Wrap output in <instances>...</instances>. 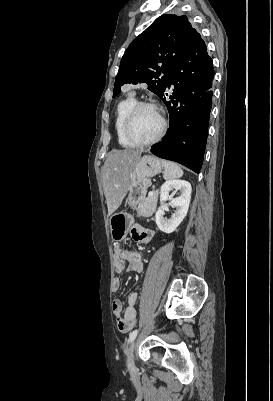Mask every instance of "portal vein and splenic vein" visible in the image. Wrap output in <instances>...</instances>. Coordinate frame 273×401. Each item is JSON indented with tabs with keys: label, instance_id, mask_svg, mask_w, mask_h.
I'll list each match as a JSON object with an SVG mask.
<instances>
[{
	"label": "portal vein and splenic vein",
	"instance_id": "obj_1",
	"mask_svg": "<svg viewBox=\"0 0 273 401\" xmlns=\"http://www.w3.org/2000/svg\"><path fill=\"white\" fill-rule=\"evenodd\" d=\"M154 190L150 189L148 193V198H151L153 196Z\"/></svg>",
	"mask_w": 273,
	"mask_h": 401
}]
</instances>
